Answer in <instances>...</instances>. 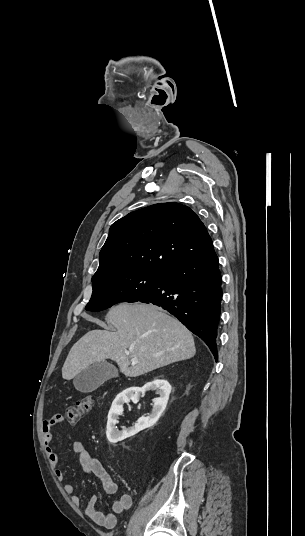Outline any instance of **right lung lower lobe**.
I'll use <instances>...</instances> for the list:
<instances>
[{
	"label": "right lung lower lobe",
	"instance_id": "right-lung-lower-lobe-1",
	"mask_svg": "<svg viewBox=\"0 0 305 536\" xmlns=\"http://www.w3.org/2000/svg\"><path fill=\"white\" fill-rule=\"evenodd\" d=\"M166 273L162 283L138 301L169 311L208 345L217 360L222 277L214 249Z\"/></svg>",
	"mask_w": 305,
	"mask_h": 536
}]
</instances>
